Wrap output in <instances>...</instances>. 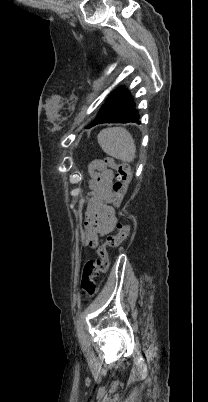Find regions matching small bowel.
<instances>
[{
    "instance_id": "small-bowel-1",
    "label": "small bowel",
    "mask_w": 208,
    "mask_h": 402,
    "mask_svg": "<svg viewBox=\"0 0 208 402\" xmlns=\"http://www.w3.org/2000/svg\"><path fill=\"white\" fill-rule=\"evenodd\" d=\"M89 194L85 197L84 243L97 247L102 237L115 232L117 218L111 206L113 200L114 172L103 161L95 160L89 165Z\"/></svg>"
}]
</instances>
